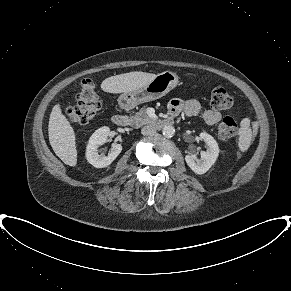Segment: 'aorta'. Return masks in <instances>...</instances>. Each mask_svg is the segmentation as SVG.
<instances>
[{
	"label": "aorta",
	"instance_id": "1",
	"mask_svg": "<svg viewBox=\"0 0 291 291\" xmlns=\"http://www.w3.org/2000/svg\"><path fill=\"white\" fill-rule=\"evenodd\" d=\"M175 133V129L173 126L171 125H165L162 129V134L166 137V138H171L173 137Z\"/></svg>",
	"mask_w": 291,
	"mask_h": 291
}]
</instances>
